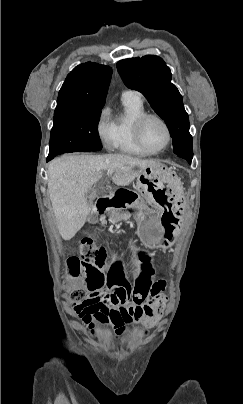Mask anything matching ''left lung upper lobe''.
Masks as SVG:
<instances>
[{"label":"left lung upper lobe","mask_w":243,"mask_h":404,"mask_svg":"<svg viewBox=\"0 0 243 404\" xmlns=\"http://www.w3.org/2000/svg\"><path fill=\"white\" fill-rule=\"evenodd\" d=\"M117 70L124 84L140 91L166 122L172 136L174 153L193 155L189 117L182 96L171 83V71L165 62L158 56L146 55L119 61Z\"/></svg>","instance_id":"5c2ea615"}]
</instances>
